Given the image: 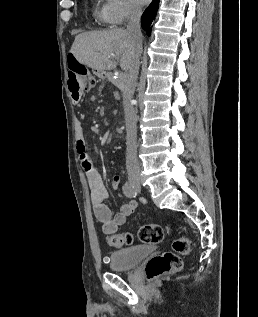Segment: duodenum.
Listing matches in <instances>:
<instances>
[{"label":"duodenum","instance_id":"410a0bca","mask_svg":"<svg viewBox=\"0 0 258 317\" xmlns=\"http://www.w3.org/2000/svg\"><path fill=\"white\" fill-rule=\"evenodd\" d=\"M66 83L73 102H80L85 93V87L80 75L76 71L69 70L67 73Z\"/></svg>","mask_w":258,"mask_h":317}]
</instances>
